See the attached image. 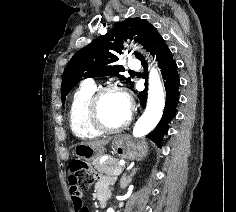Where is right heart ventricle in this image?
Returning a JSON list of instances; mask_svg holds the SVG:
<instances>
[{"instance_id":"obj_1","label":"right heart ventricle","mask_w":236,"mask_h":212,"mask_svg":"<svg viewBox=\"0 0 236 212\" xmlns=\"http://www.w3.org/2000/svg\"><path fill=\"white\" fill-rule=\"evenodd\" d=\"M96 86L84 83L73 94L69 107V123L74 135L80 139H93L102 133L89 121L88 106Z\"/></svg>"}]
</instances>
